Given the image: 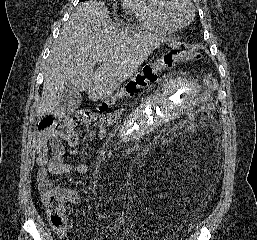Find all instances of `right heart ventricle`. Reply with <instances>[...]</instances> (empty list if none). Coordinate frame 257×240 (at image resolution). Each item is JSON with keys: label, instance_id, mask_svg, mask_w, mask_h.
Segmentation results:
<instances>
[{"label": "right heart ventricle", "instance_id": "e07e8e85", "mask_svg": "<svg viewBox=\"0 0 257 240\" xmlns=\"http://www.w3.org/2000/svg\"><path fill=\"white\" fill-rule=\"evenodd\" d=\"M124 7L150 29L173 33L178 28L166 12V0H124Z\"/></svg>", "mask_w": 257, "mask_h": 240}]
</instances>
